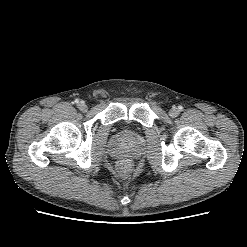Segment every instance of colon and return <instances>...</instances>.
Instances as JSON below:
<instances>
[{"instance_id": "colon-1", "label": "colon", "mask_w": 247, "mask_h": 247, "mask_svg": "<svg viewBox=\"0 0 247 247\" xmlns=\"http://www.w3.org/2000/svg\"><path fill=\"white\" fill-rule=\"evenodd\" d=\"M131 169H132L131 162L125 159L118 161L116 165L117 173L122 177L128 176L131 172Z\"/></svg>"}]
</instances>
